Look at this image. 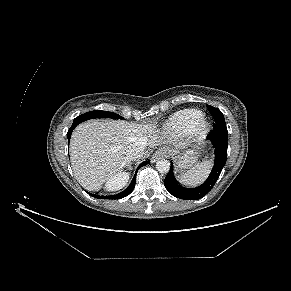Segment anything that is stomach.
Returning <instances> with one entry per match:
<instances>
[{
	"mask_svg": "<svg viewBox=\"0 0 291 291\" xmlns=\"http://www.w3.org/2000/svg\"><path fill=\"white\" fill-rule=\"evenodd\" d=\"M176 164V170L183 172L191 168L197 161V153L194 150H186L183 152L171 151Z\"/></svg>",
	"mask_w": 291,
	"mask_h": 291,
	"instance_id": "obj_1",
	"label": "stomach"
}]
</instances>
